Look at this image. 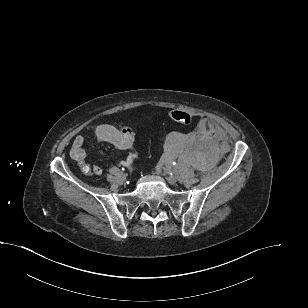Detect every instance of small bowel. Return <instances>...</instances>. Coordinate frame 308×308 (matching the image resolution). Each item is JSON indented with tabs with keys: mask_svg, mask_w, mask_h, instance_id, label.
<instances>
[{
	"mask_svg": "<svg viewBox=\"0 0 308 308\" xmlns=\"http://www.w3.org/2000/svg\"><path fill=\"white\" fill-rule=\"evenodd\" d=\"M87 132L92 134L97 139L110 143L119 150H127L132 147L134 143V132L126 125H112V124H95L87 128ZM85 143V137L83 135H77L73 140L72 147L70 149L71 157L82 164L85 172H90V167L84 164L86 156L83 145ZM138 158L136 152L128 154L124 159L120 161L122 166H130ZM92 173L94 175H101L102 168L98 165L93 166Z\"/></svg>",
	"mask_w": 308,
	"mask_h": 308,
	"instance_id": "1",
	"label": "small bowel"
}]
</instances>
